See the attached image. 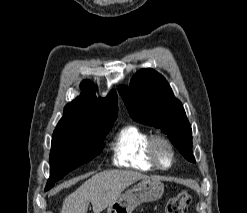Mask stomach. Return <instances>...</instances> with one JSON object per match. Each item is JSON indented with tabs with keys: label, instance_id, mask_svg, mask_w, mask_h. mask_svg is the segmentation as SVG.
I'll list each match as a JSON object with an SVG mask.
<instances>
[{
	"label": "stomach",
	"instance_id": "0dacf381",
	"mask_svg": "<svg viewBox=\"0 0 247 213\" xmlns=\"http://www.w3.org/2000/svg\"><path fill=\"white\" fill-rule=\"evenodd\" d=\"M164 184L158 178L142 179L110 204L107 213H132L144 202H153L161 198Z\"/></svg>",
	"mask_w": 247,
	"mask_h": 213
}]
</instances>
